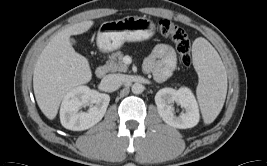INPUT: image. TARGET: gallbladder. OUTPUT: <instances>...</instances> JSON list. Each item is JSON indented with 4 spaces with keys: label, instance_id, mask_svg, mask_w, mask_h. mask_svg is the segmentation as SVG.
I'll return each mask as SVG.
<instances>
[{
    "label": "gallbladder",
    "instance_id": "1",
    "mask_svg": "<svg viewBox=\"0 0 267 166\" xmlns=\"http://www.w3.org/2000/svg\"><path fill=\"white\" fill-rule=\"evenodd\" d=\"M70 42H71L72 45H75L76 44V40L74 38H71L70 39Z\"/></svg>",
    "mask_w": 267,
    "mask_h": 166
}]
</instances>
